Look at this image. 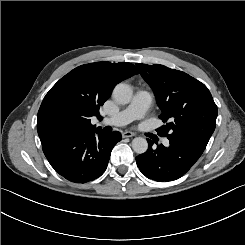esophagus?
<instances>
[{
    "label": "esophagus",
    "instance_id": "1",
    "mask_svg": "<svg viewBox=\"0 0 245 245\" xmlns=\"http://www.w3.org/2000/svg\"><path fill=\"white\" fill-rule=\"evenodd\" d=\"M136 134L134 132H131V131H125L122 133V137L123 138H127V137H133L135 136Z\"/></svg>",
    "mask_w": 245,
    "mask_h": 245
}]
</instances>
